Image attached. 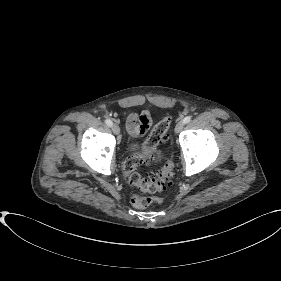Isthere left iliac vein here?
Returning <instances> with one entry per match:
<instances>
[{"label":"left iliac vein","instance_id":"obj_1","mask_svg":"<svg viewBox=\"0 0 281 281\" xmlns=\"http://www.w3.org/2000/svg\"><path fill=\"white\" fill-rule=\"evenodd\" d=\"M184 127V122L183 121H179L176 126H175V133L178 134L182 131Z\"/></svg>","mask_w":281,"mask_h":281}]
</instances>
